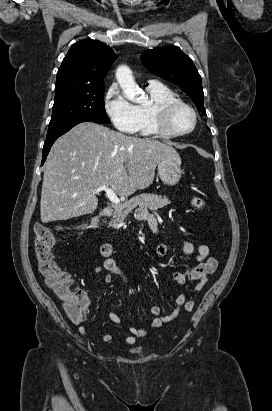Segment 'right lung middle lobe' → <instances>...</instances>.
Returning a JSON list of instances; mask_svg holds the SVG:
<instances>
[{
  "label": "right lung middle lobe",
  "mask_w": 272,
  "mask_h": 411,
  "mask_svg": "<svg viewBox=\"0 0 272 411\" xmlns=\"http://www.w3.org/2000/svg\"><path fill=\"white\" fill-rule=\"evenodd\" d=\"M85 121L110 123L104 107V84L55 92L47 136Z\"/></svg>",
  "instance_id": "right-lung-middle-lobe-1"
}]
</instances>
